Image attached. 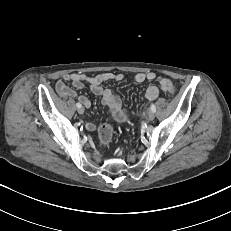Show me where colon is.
<instances>
[{"label":"colon","instance_id":"5ec220e1","mask_svg":"<svg viewBox=\"0 0 231 231\" xmlns=\"http://www.w3.org/2000/svg\"><path fill=\"white\" fill-rule=\"evenodd\" d=\"M175 91V88L174 86L171 84V85H168L166 87V92L168 93H174ZM112 136H113V128L111 125L109 124H104L100 127L99 129V138L100 140L103 142V143H109L112 139Z\"/></svg>","mask_w":231,"mask_h":231}]
</instances>
